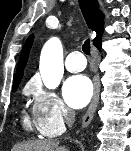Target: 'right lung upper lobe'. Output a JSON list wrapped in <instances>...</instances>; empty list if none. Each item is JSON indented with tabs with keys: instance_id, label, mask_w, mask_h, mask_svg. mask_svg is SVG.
Here are the masks:
<instances>
[{
	"instance_id": "obj_1",
	"label": "right lung upper lobe",
	"mask_w": 131,
	"mask_h": 151,
	"mask_svg": "<svg viewBox=\"0 0 131 151\" xmlns=\"http://www.w3.org/2000/svg\"><path fill=\"white\" fill-rule=\"evenodd\" d=\"M79 5L88 27L94 30L97 34L96 38L94 39V45L100 43L101 36L103 33V23H102L103 16L99 12L97 0H79ZM32 42H33V35L28 37L22 49L18 61L15 80L13 83V89L18 87V84L20 83L23 77L24 68L28 60V55L32 46Z\"/></svg>"
}]
</instances>
